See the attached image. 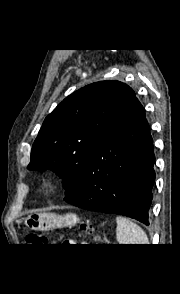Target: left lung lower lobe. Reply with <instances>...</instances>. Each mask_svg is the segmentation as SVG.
Wrapping results in <instances>:
<instances>
[{
    "label": "left lung lower lobe",
    "instance_id": "left-lung-lower-lobe-1",
    "mask_svg": "<svg viewBox=\"0 0 180 294\" xmlns=\"http://www.w3.org/2000/svg\"><path fill=\"white\" fill-rule=\"evenodd\" d=\"M154 162L145 109L136 98L97 148L78 191L64 200L83 209L120 214L149 225Z\"/></svg>",
    "mask_w": 180,
    "mask_h": 294
}]
</instances>
